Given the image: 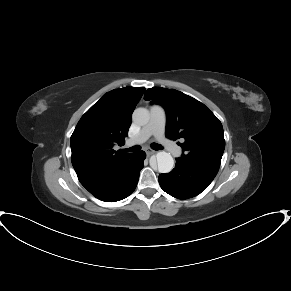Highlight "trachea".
<instances>
[{
  "mask_svg": "<svg viewBox=\"0 0 291 291\" xmlns=\"http://www.w3.org/2000/svg\"><path fill=\"white\" fill-rule=\"evenodd\" d=\"M151 148L153 150H162L163 147L160 145V144H157V143H152L151 144ZM141 149L140 146H134V147H130L128 149H125L126 152H137Z\"/></svg>",
  "mask_w": 291,
  "mask_h": 291,
  "instance_id": "1",
  "label": "trachea"
}]
</instances>
